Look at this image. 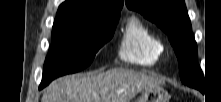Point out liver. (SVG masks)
Listing matches in <instances>:
<instances>
[{"label":"liver","instance_id":"liver-1","mask_svg":"<svg viewBox=\"0 0 221 102\" xmlns=\"http://www.w3.org/2000/svg\"><path fill=\"white\" fill-rule=\"evenodd\" d=\"M160 83L154 77L123 68L97 75H71L51 83L41 102H130L138 92Z\"/></svg>","mask_w":221,"mask_h":102}]
</instances>
